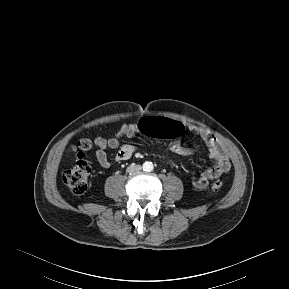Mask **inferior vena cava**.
Masks as SVG:
<instances>
[{"label":"inferior vena cava","instance_id":"602c4592","mask_svg":"<svg viewBox=\"0 0 289 289\" xmlns=\"http://www.w3.org/2000/svg\"><path fill=\"white\" fill-rule=\"evenodd\" d=\"M140 170H141V166L137 164H132L127 168L128 172L140 171Z\"/></svg>","mask_w":289,"mask_h":289}]
</instances>
